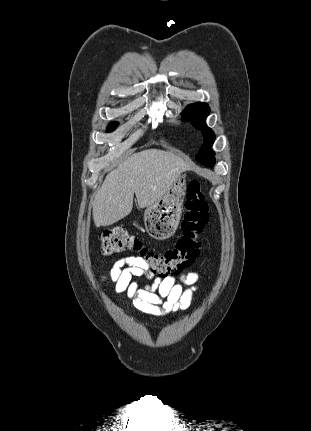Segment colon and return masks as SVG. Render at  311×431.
<instances>
[{"mask_svg": "<svg viewBox=\"0 0 311 431\" xmlns=\"http://www.w3.org/2000/svg\"><path fill=\"white\" fill-rule=\"evenodd\" d=\"M208 220V204L198 180L187 184L182 234L175 246L157 252L147 248L140 239L122 228L106 230L101 238V252L112 255L126 251L138 252L149 267V272L160 278L177 276L191 266L199 255V236Z\"/></svg>", "mask_w": 311, "mask_h": 431, "instance_id": "obj_1", "label": "colon"}]
</instances>
